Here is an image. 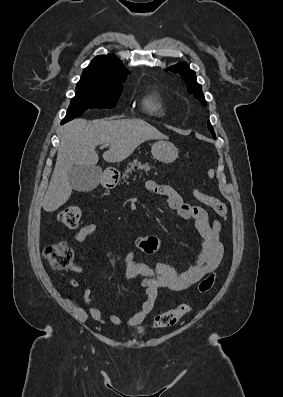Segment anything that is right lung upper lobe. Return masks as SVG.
I'll list each match as a JSON object with an SVG mask.
<instances>
[{"mask_svg": "<svg viewBox=\"0 0 283 397\" xmlns=\"http://www.w3.org/2000/svg\"><path fill=\"white\" fill-rule=\"evenodd\" d=\"M129 71L113 54L96 56L83 70L81 78L99 81L126 80Z\"/></svg>", "mask_w": 283, "mask_h": 397, "instance_id": "right-lung-upper-lobe-1", "label": "right lung upper lobe"}]
</instances>
